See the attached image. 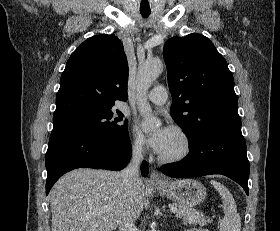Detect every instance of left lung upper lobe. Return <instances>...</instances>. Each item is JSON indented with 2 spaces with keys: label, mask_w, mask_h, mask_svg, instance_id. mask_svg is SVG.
<instances>
[{
  "label": "left lung upper lobe",
  "mask_w": 280,
  "mask_h": 231,
  "mask_svg": "<svg viewBox=\"0 0 280 231\" xmlns=\"http://www.w3.org/2000/svg\"><path fill=\"white\" fill-rule=\"evenodd\" d=\"M171 116L191 138L221 127H241L234 80L226 60L203 35L172 37L164 45Z\"/></svg>",
  "instance_id": "1"
}]
</instances>
